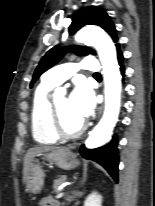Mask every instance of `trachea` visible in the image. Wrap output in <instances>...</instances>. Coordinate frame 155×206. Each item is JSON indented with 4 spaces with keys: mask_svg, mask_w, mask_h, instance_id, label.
<instances>
[{
    "mask_svg": "<svg viewBox=\"0 0 155 206\" xmlns=\"http://www.w3.org/2000/svg\"><path fill=\"white\" fill-rule=\"evenodd\" d=\"M94 76H100V74L99 73H95Z\"/></svg>",
    "mask_w": 155,
    "mask_h": 206,
    "instance_id": "obj_1",
    "label": "trachea"
}]
</instances>
